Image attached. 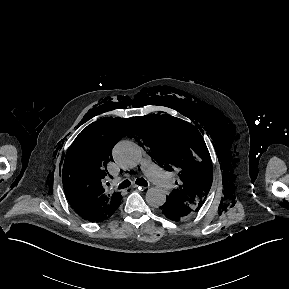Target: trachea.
<instances>
[{
    "mask_svg": "<svg viewBox=\"0 0 289 289\" xmlns=\"http://www.w3.org/2000/svg\"><path fill=\"white\" fill-rule=\"evenodd\" d=\"M135 183L137 185L147 186V181L145 179H143V178H138ZM130 185H131V182L129 180H125L119 185V189L127 188Z\"/></svg>",
    "mask_w": 289,
    "mask_h": 289,
    "instance_id": "obj_1",
    "label": "trachea"
}]
</instances>
